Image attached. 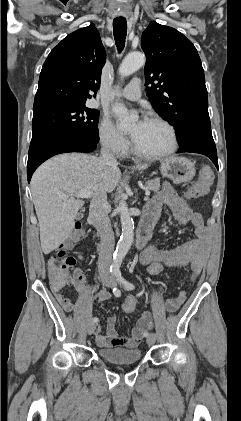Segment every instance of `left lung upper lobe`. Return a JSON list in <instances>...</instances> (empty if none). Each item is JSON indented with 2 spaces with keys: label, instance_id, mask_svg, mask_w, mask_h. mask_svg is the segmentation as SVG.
<instances>
[{
  "label": "left lung upper lobe",
  "instance_id": "obj_1",
  "mask_svg": "<svg viewBox=\"0 0 241 421\" xmlns=\"http://www.w3.org/2000/svg\"><path fill=\"white\" fill-rule=\"evenodd\" d=\"M145 85L156 112L176 130L179 145L211 128L204 70L192 42L174 28L150 22L141 38ZM156 81V83H154Z\"/></svg>",
  "mask_w": 241,
  "mask_h": 421
}]
</instances>
